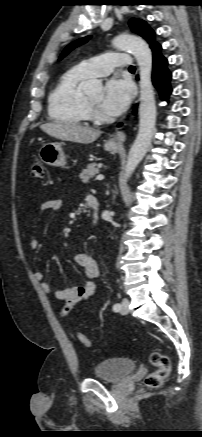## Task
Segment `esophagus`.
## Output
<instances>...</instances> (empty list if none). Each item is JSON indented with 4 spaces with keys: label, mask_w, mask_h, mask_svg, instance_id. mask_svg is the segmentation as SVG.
I'll use <instances>...</instances> for the list:
<instances>
[{
    "label": "esophagus",
    "mask_w": 202,
    "mask_h": 437,
    "mask_svg": "<svg viewBox=\"0 0 202 437\" xmlns=\"http://www.w3.org/2000/svg\"><path fill=\"white\" fill-rule=\"evenodd\" d=\"M126 139L123 131H117L111 138V142L115 144H122Z\"/></svg>",
    "instance_id": "esophagus-1"
}]
</instances>
